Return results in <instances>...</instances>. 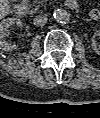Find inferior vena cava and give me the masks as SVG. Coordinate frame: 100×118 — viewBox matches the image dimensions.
I'll list each match as a JSON object with an SVG mask.
<instances>
[{
    "mask_svg": "<svg viewBox=\"0 0 100 118\" xmlns=\"http://www.w3.org/2000/svg\"><path fill=\"white\" fill-rule=\"evenodd\" d=\"M47 17L43 15H38L34 18L33 23L37 27H42L47 23Z\"/></svg>",
    "mask_w": 100,
    "mask_h": 118,
    "instance_id": "1",
    "label": "inferior vena cava"
}]
</instances>
